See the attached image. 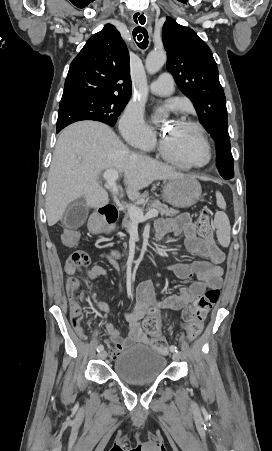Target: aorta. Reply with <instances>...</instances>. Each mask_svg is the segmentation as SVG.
<instances>
[{
	"label": "aorta",
	"mask_w": 272,
	"mask_h": 451,
	"mask_svg": "<svg viewBox=\"0 0 272 451\" xmlns=\"http://www.w3.org/2000/svg\"><path fill=\"white\" fill-rule=\"evenodd\" d=\"M167 56L166 52H150L146 58V70L149 74H156L161 70L162 66L166 64Z\"/></svg>",
	"instance_id": "obj_1"
}]
</instances>
